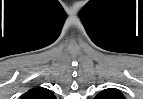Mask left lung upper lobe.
Returning <instances> with one entry per match:
<instances>
[{"label":"left lung upper lobe","mask_w":143,"mask_h":99,"mask_svg":"<svg viewBox=\"0 0 143 99\" xmlns=\"http://www.w3.org/2000/svg\"><path fill=\"white\" fill-rule=\"evenodd\" d=\"M95 99H124V96L119 90L113 88L98 93Z\"/></svg>","instance_id":"left-lung-upper-lobe-1"}]
</instances>
